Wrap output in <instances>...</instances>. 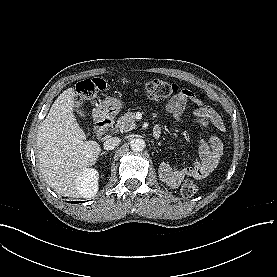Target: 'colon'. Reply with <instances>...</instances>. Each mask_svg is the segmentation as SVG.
<instances>
[{"label":"colon","instance_id":"1","mask_svg":"<svg viewBox=\"0 0 277 277\" xmlns=\"http://www.w3.org/2000/svg\"><path fill=\"white\" fill-rule=\"evenodd\" d=\"M107 89V82L103 79L85 80L78 84L76 103L82 104L95 100L100 91ZM146 93L152 100H164L179 92V88L172 83L162 80H149L145 85ZM212 165V163L210 162ZM197 191L193 180H187L182 184L181 194L191 197Z\"/></svg>","mask_w":277,"mask_h":277}]
</instances>
